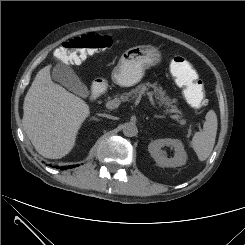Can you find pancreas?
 <instances>
[{
    "instance_id": "obj_1",
    "label": "pancreas",
    "mask_w": 245,
    "mask_h": 245,
    "mask_svg": "<svg viewBox=\"0 0 245 245\" xmlns=\"http://www.w3.org/2000/svg\"><path fill=\"white\" fill-rule=\"evenodd\" d=\"M149 89H152L150 93L155 96L157 103L162 106L166 112L180 113L177 106L173 104L174 102L166 95L163 88L157 85V83H142L134 89H131L129 92L122 93L119 97L123 102L130 101L141 97L145 91H148Z\"/></svg>"
}]
</instances>
